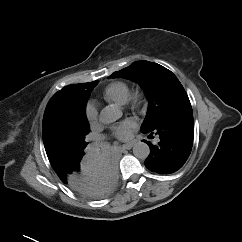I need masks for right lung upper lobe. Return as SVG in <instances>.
Segmentation results:
<instances>
[{
  "instance_id": "right-lung-upper-lobe-1",
  "label": "right lung upper lobe",
  "mask_w": 242,
  "mask_h": 242,
  "mask_svg": "<svg viewBox=\"0 0 242 242\" xmlns=\"http://www.w3.org/2000/svg\"><path fill=\"white\" fill-rule=\"evenodd\" d=\"M94 81L84 84H74L64 87L54 94L47 104L43 117V141L48 159L53 167L64 165L71 160H58L53 158L47 147V138L52 122L65 115L77 114L85 104L92 91Z\"/></svg>"
}]
</instances>
